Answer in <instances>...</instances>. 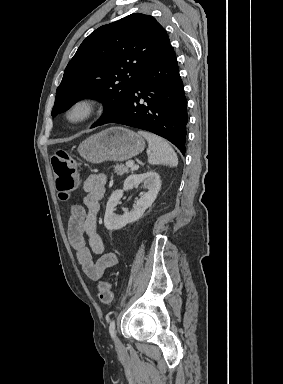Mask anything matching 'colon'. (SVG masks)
I'll list each match as a JSON object with an SVG mask.
<instances>
[{
  "instance_id": "1",
  "label": "colon",
  "mask_w": 283,
  "mask_h": 384,
  "mask_svg": "<svg viewBox=\"0 0 283 384\" xmlns=\"http://www.w3.org/2000/svg\"><path fill=\"white\" fill-rule=\"evenodd\" d=\"M57 191L62 199H67L76 186V166L71 155L65 150H58L51 157ZM98 298L108 305L112 302L113 293L109 282L98 285Z\"/></svg>"
}]
</instances>
